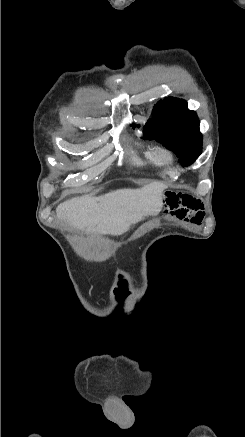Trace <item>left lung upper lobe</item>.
Here are the masks:
<instances>
[{"mask_svg": "<svg viewBox=\"0 0 245 437\" xmlns=\"http://www.w3.org/2000/svg\"><path fill=\"white\" fill-rule=\"evenodd\" d=\"M153 118L144 127V139H155L172 150L183 166L191 165L201 154L199 119L184 100L168 97L153 109Z\"/></svg>", "mask_w": 245, "mask_h": 437, "instance_id": "left-lung-upper-lobe-1", "label": "left lung upper lobe"}]
</instances>
